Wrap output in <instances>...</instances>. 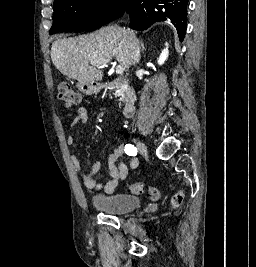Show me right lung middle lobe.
<instances>
[{"mask_svg":"<svg viewBox=\"0 0 256 267\" xmlns=\"http://www.w3.org/2000/svg\"><path fill=\"white\" fill-rule=\"evenodd\" d=\"M131 0H57L49 31H92L122 16Z\"/></svg>","mask_w":256,"mask_h":267,"instance_id":"dd1d6c3e","label":"right lung middle lobe"}]
</instances>
